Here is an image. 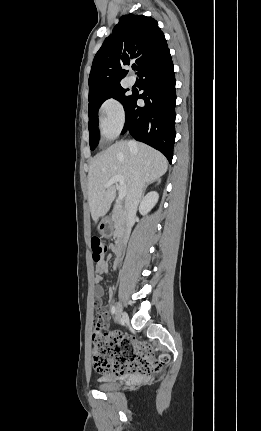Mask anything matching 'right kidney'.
Here are the masks:
<instances>
[{
    "label": "right kidney",
    "instance_id": "obj_1",
    "mask_svg": "<svg viewBox=\"0 0 261 431\" xmlns=\"http://www.w3.org/2000/svg\"><path fill=\"white\" fill-rule=\"evenodd\" d=\"M159 195L156 191L149 192L141 201L139 211L142 215H146L158 202Z\"/></svg>",
    "mask_w": 261,
    "mask_h": 431
}]
</instances>
